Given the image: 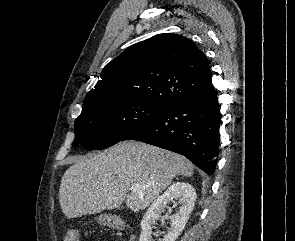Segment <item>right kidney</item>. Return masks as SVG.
Returning a JSON list of instances; mask_svg holds the SVG:
<instances>
[{
    "label": "right kidney",
    "instance_id": "1",
    "mask_svg": "<svg viewBox=\"0 0 295 241\" xmlns=\"http://www.w3.org/2000/svg\"><path fill=\"white\" fill-rule=\"evenodd\" d=\"M174 200H178V202ZM195 201L196 192L192 185L186 182L173 183L161 196L154 200L143 216L141 221L142 232L139 241H153V225L156 220L161 218V213L164 212L167 205L171 202L181 206L175 215L165 216V218L170 220V227L160 241H175L184 229L189 219V214L194 208ZM163 219L164 217H162Z\"/></svg>",
    "mask_w": 295,
    "mask_h": 241
}]
</instances>
